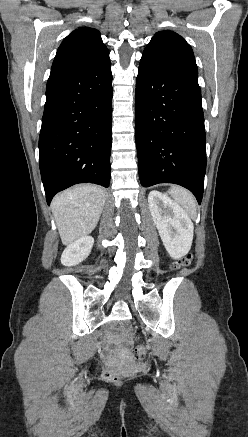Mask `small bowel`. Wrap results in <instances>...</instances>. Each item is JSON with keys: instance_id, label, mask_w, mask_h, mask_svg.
Wrapping results in <instances>:
<instances>
[{"instance_id": "obj_1", "label": "small bowel", "mask_w": 248, "mask_h": 437, "mask_svg": "<svg viewBox=\"0 0 248 437\" xmlns=\"http://www.w3.org/2000/svg\"><path fill=\"white\" fill-rule=\"evenodd\" d=\"M113 339H114L115 342H129V339L125 335V331L124 330H122L120 332V334L114 336Z\"/></svg>"}]
</instances>
